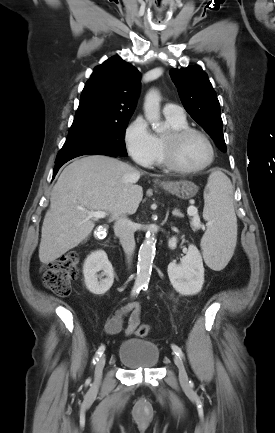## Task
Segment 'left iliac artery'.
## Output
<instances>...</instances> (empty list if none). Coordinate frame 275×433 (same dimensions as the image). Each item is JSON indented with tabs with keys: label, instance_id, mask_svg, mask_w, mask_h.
Wrapping results in <instances>:
<instances>
[{
	"label": "left iliac artery",
	"instance_id": "left-iliac-artery-1",
	"mask_svg": "<svg viewBox=\"0 0 275 433\" xmlns=\"http://www.w3.org/2000/svg\"><path fill=\"white\" fill-rule=\"evenodd\" d=\"M145 289H147L146 286H145ZM172 349H173L174 353L177 356H179L180 358L184 359V354H183L182 350L178 346L172 345Z\"/></svg>",
	"mask_w": 275,
	"mask_h": 433
}]
</instances>
